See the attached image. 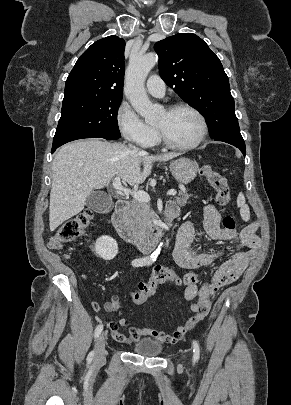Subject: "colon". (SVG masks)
I'll return each instance as SVG.
<instances>
[{
    "label": "colon",
    "mask_w": 291,
    "mask_h": 405,
    "mask_svg": "<svg viewBox=\"0 0 291 405\" xmlns=\"http://www.w3.org/2000/svg\"><path fill=\"white\" fill-rule=\"evenodd\" d=\"M200 174L207 179L215 190L217 204L225 207L230 200L227 179L221 173L215 171L209 164H204L200 167ZM92 218V212L85 210L64 222L51 239L50 247L55 250H62L67 243L81 237L91 225ZM222 223L226 229H235V220L230 215H224ZM199 279L200 275L198 273L192 272L181 275L169 267L159 265L154 268L150 278L140 283L138 288L131 293V298L136 304H142L153 296L157 288L162 284L171 282L179 286L197 285Z\"/></svg>",
    "instance_id": "colon-1"
}]
</instances>
